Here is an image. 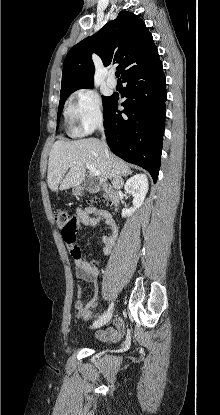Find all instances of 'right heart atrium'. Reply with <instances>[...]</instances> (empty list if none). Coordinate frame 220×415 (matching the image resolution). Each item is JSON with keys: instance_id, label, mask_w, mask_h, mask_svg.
Segmentation results:
<instances>
[{"instance_id": "1", "label": "right heart atrium", "mask_w": 220, "mask_h": 415, "mask_svg": "<svg viewBox=\"0 0 220 415\" xmlns=\"http://www.w3.org/2000/svg\"><path fill=\"white\" fill-rule=\"evenodd\" d=\"M71 132L85 135L103 125L102 101L91 88L78 90L66 111Z\"/></svg>"}]
</instances>
